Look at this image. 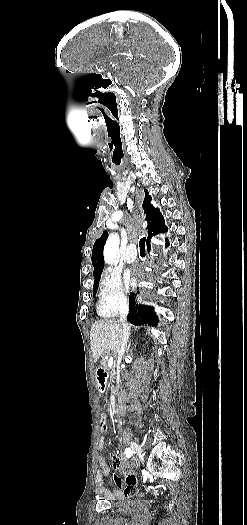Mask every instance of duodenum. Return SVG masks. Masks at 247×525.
<instances>
[{"mask_svg": "<svg viewBox=\"0 0 247 525\" xmlns=\"http://www.w3.org/2000/svg\"><path fill=\"white\" fill-rule=\"evenodd\" d=\"M107 376L108 375H107L105 369L102 366L97 367V369H96V379H97L98 383L100 384V386L102 387V389H104L105 386H106ZM110 410H111L112 413H116L117 412V401H116V398L114 396L111 397V399H110Z\"/></svg>", "mask_w": 247, "mask_h": 525, "instance_id": "obj_1", "label": "duodenum"}]
</instances>
